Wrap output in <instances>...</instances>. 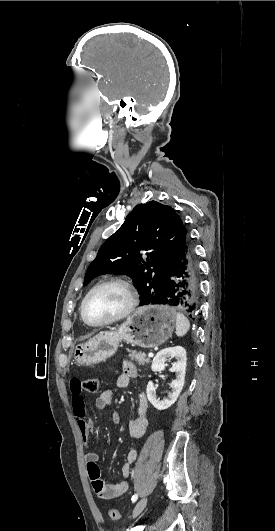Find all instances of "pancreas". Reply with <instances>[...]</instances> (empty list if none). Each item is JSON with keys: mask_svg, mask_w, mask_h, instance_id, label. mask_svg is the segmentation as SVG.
Here are the masks:
<instances>
[{"mask_svg": "<svg viewBox=\"0 0 275 531\" xmlns=\"http://www.w3.org/2000/svg\"><path fill=\"white\" fill-rule=\"evenodd\" d=\"M128 353H130L129 357L131 361H136L137 365H147L149 363L150 359H147L145 353H137V351H129V349H126Z\"/></svg>", "mask_w": 275, "mask_h": 531, "instance_id": "obj_1", "label": "pancreas"}]
</instances>
